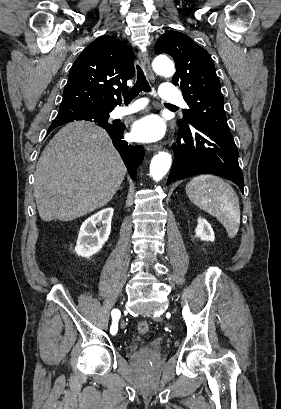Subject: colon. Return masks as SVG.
Instances as JSON below:
<instances>
[{
	"instance_id": "colon-1",
	"label": "colon",
	"mask_w": 281,
	"mask_h": 409,
	"mask_svg": "<svg viewBox=\"0 0 281 409\" xmlns=\"http://www.w3.org/2000/svg\"><path fill=\"white\" fill-rule=\"evenodd\" d=\"M149 330H150V324L148 322L141 321V322L138 323L137 332L139 334H142V335L147 334L149 332Z\"/></svg>"
}]
</instances>
